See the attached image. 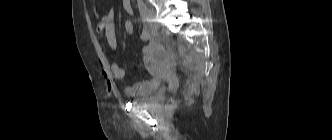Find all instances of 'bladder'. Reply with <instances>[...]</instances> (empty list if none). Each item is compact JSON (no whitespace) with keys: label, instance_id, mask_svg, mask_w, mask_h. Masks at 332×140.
Instances as JSON below:
<instances>
[{"label":"bladder","instance_id":"obj_1","mask_svg":"<svg viewBox=\"0 0 332 140\" xmlns=\"http://www.w3.org/2000/svg\"><path fill=\"white\" fill-rule=\"evenodd\" d=\"M145 83L147 84L146 91L132 98V102L136 105H150L161 99V81L151 79Z\"/></svg>","mask_w":332,"mask_h":140}]
</instances>
